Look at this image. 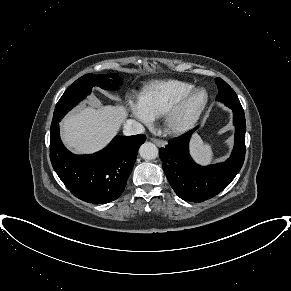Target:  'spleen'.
<instances>
[{
    "mask_svg": "<svg viewBox=\"0 0 291 291\" xmlns=\"http://www.w3.org/2000/svg\"><path fill=\"white\" fill-rule=\"evenodd\" d=\"M191 149L197 161L207 164L212 160L213 152L211 146L205 144L199 137L194 138Z\"/></svg>",
    "mask_w": 291,
    "mask_h": 291,
    "instance_id": "obj_1",
    "label": "spleen"
}]
</instances>
